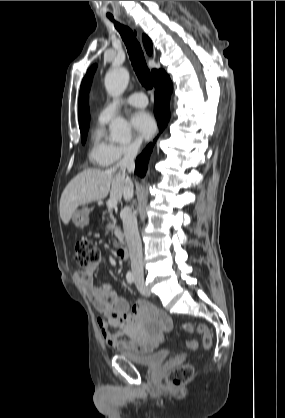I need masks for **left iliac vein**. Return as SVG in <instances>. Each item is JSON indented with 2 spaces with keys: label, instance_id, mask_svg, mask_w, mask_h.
<instances>
[{
  "label": "left iliac vein",
  "instance_id": "obj_1",
  "mask_svg": "<svg viewBox=\"0 0 285 418\" xmlns=\"http://www.w3.org/2000/svg\"><path fill=\"white\" fill-rule=\"evenodd\" d=\"M136 287L138 289V291L144 295V296H149L150 295V291L147 288V286L144 283V280L142 278H137L136 281Z\"/></svg>",
  "mask_w": 285,
  "mask_h": 418
}]
</instances>
